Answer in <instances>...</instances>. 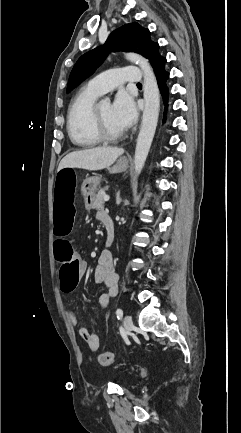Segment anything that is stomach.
Instances as JSON below:
<instances>
[{
    "label": "stomach",
    "instance_id": "1",
    "mask_svg": "<svg viewBox=\"0 0 241 433\" xmlns=\"http://www.w3.org/2000/svg\"><path fill=\"white\" fill-rule=\"evenodd\" d=\"M129 167V161L125 157H121L117 160V162L109 168L110 173H122L126 171ZM101 181V177L95 176L90 177L81 183L80 190L81 195L83 197V201L85 203V206L87 208H90L92 206V203L95 199V191L97 189V186L99 185Z\"/></svg>",
    "mask_w": 241,
    "mask_h": 433
}]
</instances>
